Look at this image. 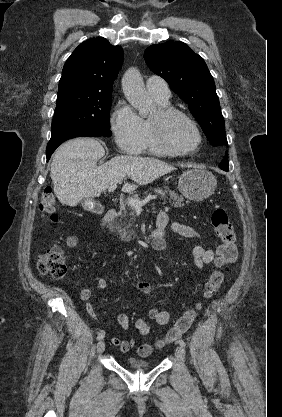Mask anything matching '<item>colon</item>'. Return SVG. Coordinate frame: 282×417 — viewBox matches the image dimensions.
Listing matches in <instances>:
<instances>
[{"label": "colon", "mask_w": 282, "mask_h": 417, "mask_svg": "<svg viewBox=\"0 0 282 417\" xmlns=\"http://www.w3.org/2000/svg\"><path fill=\"white\" fill-rule=\"evenodd\" d=\"M41 209L50 224H57L56 215L57 201L50 186H46L40 196ZM211 224L220 241L217 249L218 259L225 265L233 264L238 255L237 237L232 222L223 208L215 209L211 214ZM37 268L44 274H49L55 279L64 277L66 273L65 259L62 251L51 246L37 261ZM224 281L222 272H214L205 284V296H212L220 289ZM196 318L195 310L186 311L168 330L165 337V344H174L180 339L182 333L193 323ZM140 356H151L152 349L149 345H143L139 349Z\"/></svg>", "instance_id": "1"}]
</instances>
